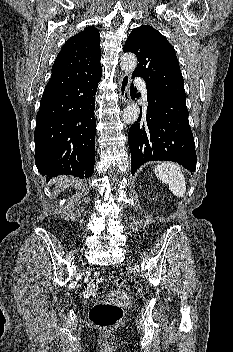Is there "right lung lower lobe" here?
I'll use <instances>...</instances> for the list:
<instances>
[{"label": "right lung lower lobe", "instance_id": "obj_1", "mask_svg": "<svg viewBox=\"0 0 233 352\" xmlns=\"http://www.w3.org/2000/svg\"><path fill=\"white\" fill-rule=\"evenodd\" d=\"M102 72L44 91L36 115L35 164L47 181L58 175L92 176L95 164V94Z\"/></svg>", "mask_w": 233, "mask_h": 352}]
</instances>
